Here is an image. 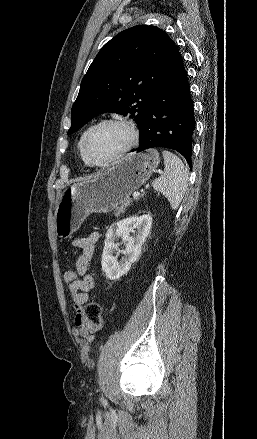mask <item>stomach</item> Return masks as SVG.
Listing matches in <instances>:
<instances>
[{"mask_svg": "<svg viewBox=\"0 0 257 439\" xmlns=\"http://www.w3.org/2000/svg\"><path fill=\"white\" fill-rule=\"evenodd\" d=\"M159 153L147 149L122 158L114 167L65 188L58 197L54 226L67 238L91 213H109L143 185L158 167Z\"/></svg>", "mask_w": 257, "mask_h": 439, "instance_id": "obj_1", "label": "stomach"}]
</instances>
